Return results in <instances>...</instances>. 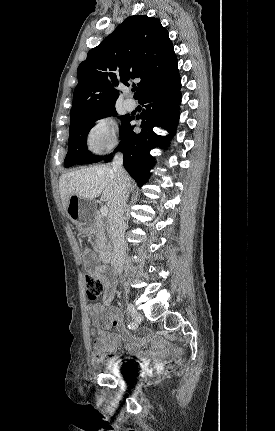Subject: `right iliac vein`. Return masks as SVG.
<instances>
[{"instance_id": "63e3f726", "label": "right iliac vein", "mask_w": 275, "mask_h": 431, "mask_svg": "<svg viewBox=\"0 0 275 431\" xmlns=\"http://www.w3.org/2000/svg\"><path fill=\"white\" fill-rule=\"evenodd\" d=\"M127 311L133 319H137L140 316V313L133 304L127 306Z\"/></svg>"}]
</instances>
